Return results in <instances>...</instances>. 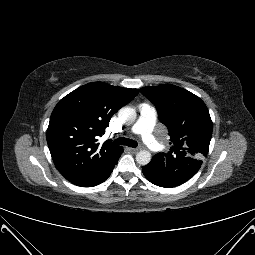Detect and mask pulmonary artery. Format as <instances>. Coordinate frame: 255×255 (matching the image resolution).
I'll return each instance as SVG.
<instances>
[{
	"label": "pulmonary artery",
	"instance_id": "1",
	"mask_svg": "<svg viewBox=\"0 0 255 255\" xmlns=\"http://www.w3.org/2000/svg\"><path fill=\"white\" fill-rule=\"evenodd\" d=\"M157 120V112L155 108L147 103L140 106V115L132 127V132L140 134L145 144L152 151H159L161 144L155 139L152 132Z\"/></svg>",
	"mask_w": 255,
	"mask_h": 255
}]
</instances>
